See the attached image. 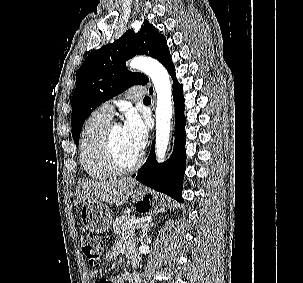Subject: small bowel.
Returning a JSON list of instances; mask_svg holds the SVG:
<instances>
[{"instance_id": "c3829d8e", "label": "small bowel", "mask_w": 303, "mask_h": 283, "mask_svg": "<svg viewBox=\"0 0 303 283\" xmlns=\"http://www.w3.org/2000/svg\"><path fill=\"white\" fill-rule=\"evenodd\" d=\"M126 254L131 260L136 261L138 259L137 252L135 250L134 240L130 236L123 237L121 240L116 242L105 254L104 258L106 260L116 259L119 255ZM98 270H93L90 273V277L95 279L98 277ZM137 278L140 283L139 274H137ZM133 279L132 273H124L122 275L117 276L114 279V283H131Z\"/></svg>"}]
</instances>
